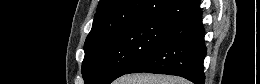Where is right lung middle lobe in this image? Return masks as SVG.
<instances>
[{"instance_id":"dd1d6c3e","label":"right lung middle lobe","mask_w":260,"mask_h":84,"mask_svg":"<svg viewBox=\"0 0 260 84\" xmlns=\"http://www.w3.org/2000/svg\"><path fill=\"white\" fill-rule=\"evenodd\" d=\"M173 24L142 21L107 32L85 43L82 74L85 84H108L146 56Z\"/></svg>"}]
</instances>
